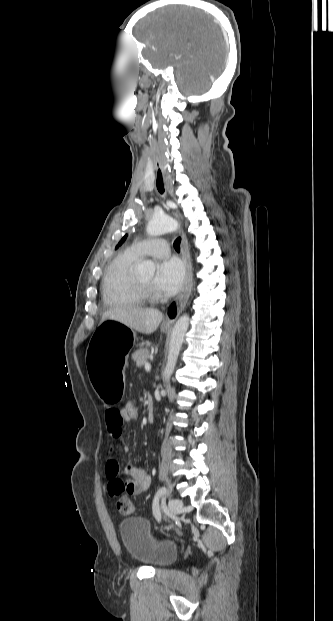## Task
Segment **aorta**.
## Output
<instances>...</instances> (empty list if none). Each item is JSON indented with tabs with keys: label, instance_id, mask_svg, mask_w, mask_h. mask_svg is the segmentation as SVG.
<instances>
[{
	"label": "aorta",
	"instance_id": "aorta-1",
	"mask_svg": "<svg viewBox=\"0 0 333 621\" xmlns=\"http://www.w3.org/2000/svg\"><path fill=\"white\" fill-rule=\"evenodd\" d=\"M178 225L174 218L168 215H155L148 222L146 231L150 236H159L165 233L173 232ZM155 265L152 261H145L137 268L140 276H153ZM189 315L184 314L176 321L170 338L169 352L166 367L163 373L165 381H168L175 369L179 352L184 341L185 334L189 327Z\"/></svg>",
	"mask_w": 333,
	"mask_h": 621
}]
</instances>
